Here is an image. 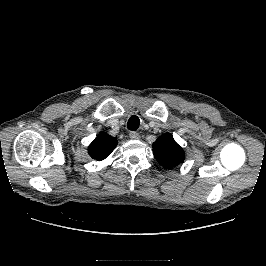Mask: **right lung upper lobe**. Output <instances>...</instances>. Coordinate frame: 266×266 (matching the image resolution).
I'll use <instances>...</instances> for the list:
<instances>
[{
  "mask_svg": "<svg viewBox=\"0 0 266 266\" xmlns=\"http://www.w3.org/2000/svg\"><path fill=\"white\" fill-rule=\"evenodd\" d=\"M117 138L101 132L98 137L89 145V155L98 161L107 158L117 146Z\"/></svg>",
  "mask_w": 266,
  "mask_h": 266,
  "instance_id": "right-lung-upper-lobe-1",
  "label": "right lung upper lobe"
}]
</instances>
